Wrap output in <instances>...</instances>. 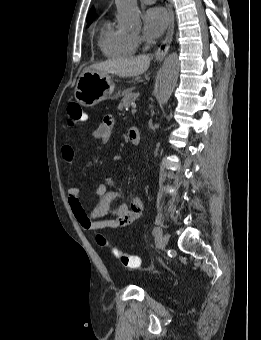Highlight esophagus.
<instances>
[{"instance_id":"1","label":"esophagus","mask_w":261,"mask_h":340,"mask_svg":"<svg viewBox=\"0 0 261 340\" xmlns=\"http://www.w3.org/2000/svg\"><path fill=\"white\" fill-rule=\"evenodd\" d=\"M165 3L167 6L169 15H170V23H169V28H168L167 35L164 41L162 42L160 47L155 52L156 60H162L164 58L165 54L168 52L170 48L173 34H174V26H175L174 12H173L170 0H166Z\"/></svg>"}]
</instances>
